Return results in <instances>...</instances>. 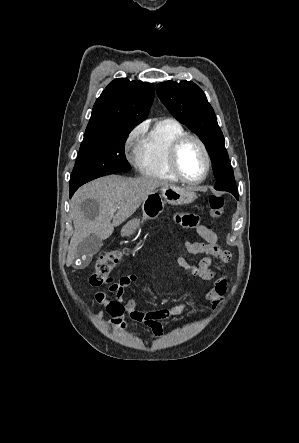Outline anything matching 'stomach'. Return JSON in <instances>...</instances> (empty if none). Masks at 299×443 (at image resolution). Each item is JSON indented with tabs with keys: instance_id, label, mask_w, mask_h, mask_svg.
Returning <instances> with one entry per match:
<instances>
[{
	"instance_id": "1",
	"label": "stomach",
	"mask_w": 299,
	"mask_h": 443,
	"mask_svg": "<svg viewBox=\"0 0 299 443\" xmlns=\"http://www.w3.org/2000/svg\"><path fill=\"white\" fill-rule=\"evenodd\" d=\"M196 199V194L188 188H180L175 185L167 184L162 186L160 193L154 191L147 196L142 203V218H135L129 221L121 231V235L129 237L146 220L156 219L164 210L166 203L176 206L187 205Z\"/></svg>"
}]
</instances>
